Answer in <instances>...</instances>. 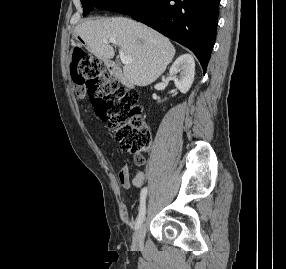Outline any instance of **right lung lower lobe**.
<instances>
[{"instance_id":"98d812e1","label":"right lung lower lobe","mask_w":286,"mask_h":269,"mask_svg":"<svg viewBox=\"0 0 286 269\" xmlns=\"http://www.w3.org/2000/svg\"><path fill=\"white\" fill-rule=\"evenodd\" d=\"M220 0H156L132 14L168 38L189 48L205 73L215 43Z\"/></svg>"}]
</instances>
